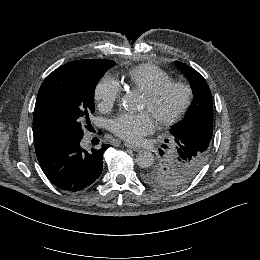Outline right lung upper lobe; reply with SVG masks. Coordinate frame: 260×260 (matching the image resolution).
<instances>
[{"label": "right lung upper lobe", "instance_id": "cb5924a9", "mask_svg": "<svg viewBox=\"0 0 260 260\" xmlns=\"http://www.w3.org/2000/svg\"><path fill=\"white\" fill-rule=\"evenodd\" d=\"M115 63L112 60H105V59H87V60H77L70 63H67L61 68H81V67H99V66H109L111 64ZM36 147H39L45 142L34 138Z\"/></svg>", "mask_w": 260, "mask_h": 260}]
</instances>
